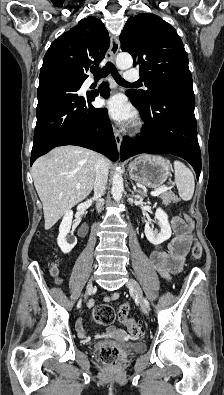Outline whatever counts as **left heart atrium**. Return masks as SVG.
<instances>
[{
	"mask_svg": "<svg viewBox=\"0 0 224 395\" xmlns=\"http://www.w3.org/2000/svg\"><path fill=\"white\" fill-rule=\"evenodd\" d=\"M109 114L116 120L124 122L134 118L133 110L125 103L122 96H113L105 102Z\"/></svg>",
	"mask_w": 224,
	"mask_h": 395,
	"instance_id": "left-heart-atrium-1",
	"label": "left heart atrium"
}]
</instances>
